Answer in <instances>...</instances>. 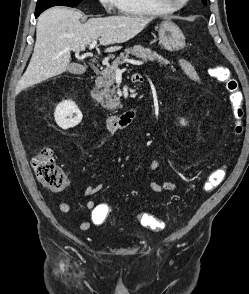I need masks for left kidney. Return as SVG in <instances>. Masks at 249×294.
<instances>
[{
  "label": "left kidney",
  "instance_id": "obj_1",
  "mask_svg": "<svg viewBox=\"0 0 249 294\" xmlns=\"http://www.w3.org/2000/svg\"><path fill=\"white\" fill-rule=\"evenodd\" d=\"M181 125L185 126L187 124V122L184 119L180 120Z\"/></svg>",
  "mask_w": 249,
  "mask_h": 294
}]
</instances>
